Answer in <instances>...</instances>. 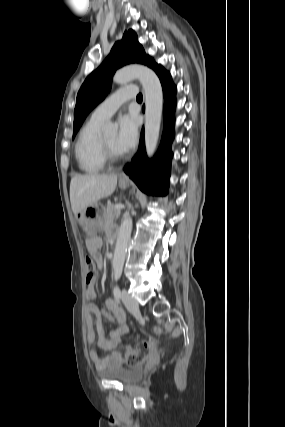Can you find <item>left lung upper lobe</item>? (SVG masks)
I'll return each mask as SVG.
<instances>
[{
	"instance_id": "left-lung-upper-lobe-1",
	"label": "left lung upper lobe",
	"mask_w": 285,
	"mask_h": 427,
	"mask_svg": "<svg viewBox=\"0 0 285 427\" xmlns=\"http://www.w3.org/2000/svg\"><path fill=\"white\" fill-rule=\"evenodd\" d=\"M130 63H140L150 68L156 65L154 60L146 55L143 47L138 43L137 34L133 30L124 32L122 40L114 44L108 57L82 84L77 94L74 110L73 138L87 114L110 91L114 72Z\"/></svg>"
}]
</instances>
